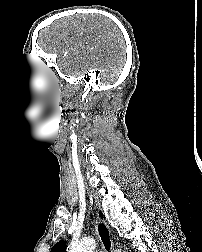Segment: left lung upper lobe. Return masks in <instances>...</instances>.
<instances>
[{
	"mask_svg": "<svg viewBox=\"0 0 202 252\" xmlns=\"http://www.w3.org/2000/svg\"><path fill=\"white\" fill-rule=\"evenodd\" d=\"M100 216L103 217V214L101 212H100ZM65 246H66L65 241L62 240L56 243L50 252H66Z\"/></svg>",
	"mask_w": 202,
	"mask_h": 252,
	"instance_id": "1",
	"label": "left lung upper lobe"
}]
</instances>
